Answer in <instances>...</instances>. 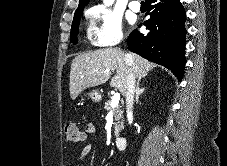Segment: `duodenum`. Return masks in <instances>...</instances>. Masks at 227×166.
<instances>
[{"instance_id": "410a0bca", "label": "duodenum", "mask_w": 227, "mask_h": 166, "mask_svg": "<svg viewBox=\"0 0 227 166\" xmlns=\"http://www.w3.org/2000/svg\"><path fill=\"white\" fill-rule=\"evenodd\" d=\"M115 145L118 150H124L127 145V138L124 135H120L116 138Z\"/></svg>"}]
</instances>
